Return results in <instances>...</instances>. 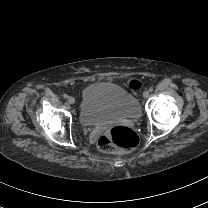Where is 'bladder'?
I'll return each instance as SVG.
<instances>
[{"label":"bladder","mask_w":208,"mask_h":208,"mask_svg":"<svg viewBox=\"0 0 208 208\" xmlns=\"http://www.w3.org/2000/svg\"><path fill=\"white\" fill-rule=\"evenodd\" d=\"M140 112L135 96L120 86L97 82L89 84L83 91L81 119L87 124L139 120Z\"/></svg>","instance_id":"obj_1"}]
</instances>
